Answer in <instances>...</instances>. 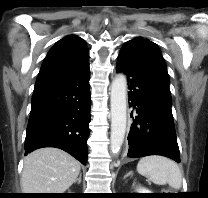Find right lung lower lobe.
Returning a JSON list of instances; mask_svg holds the SVG:
<instances>
[{
    "mask_svg": "<svg viewBox=\"0 0 208 198\" xmlns=\"http://www.w3.org/2000/svg\"><path fill=\"white\" fill-rule=\"evenodd\" d=\"M90 68L54 85L34 90L25 138L28 154L38 148H60L87 162L90 122Z\"/></svg>",
    "mask_w": 208,
    "mask_h": 198,
    "instance_id": "1",
    "label": "right lung lower lobe"
}]
</instances>
